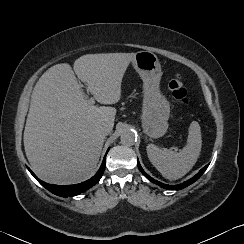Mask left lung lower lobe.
Returning <instances> with one entry per match:
<instances>
[{"label":"left lung lower lobe","instance_id":"obj_1","mask_svg":"<svg viewBox=\"0 0 244 244\" xmlns=\"http://www.w3.org/2000/svg\"><path fill=\"white\" fill-rule=\"evenodd\" d=\"M138 167H139V170L141 171V173H142V174H143L149 181H151V182H153V183H155V184H157V185H159V186H161V187H163V188H165V189H168V190H180V189H183V188L189 186L190 184L194 183L196 180H198V179L201 177V175L205 172V170L207 169L208 165H206L204 168H202V169H201V170H200V171H199L193 178H191L190 180H188V181H186V182H184V183H182V184H180V185H176V186H174V185H166V184H163V183H161V182H159V181H157V180H154V179L151 178L150 176H148V175L144 172V170L142 169V167H141L139 161H138Z\"/></svg>","mask_w":244,"mask_h":244}]
</instances>
